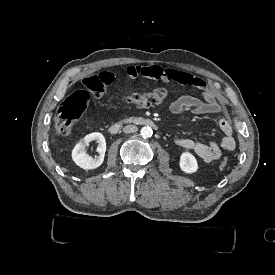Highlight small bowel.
I'll return each instance as SVG.
<instances>
[{"label": "small bowel", "instance_id": "obj_1", "mask_svg": "<svg viewBox=\"0 0 275 275\" xmlns=\"http://www.w3.org/2000/svg\"><path fill=\"white\" fill-rule=\"evenodd\" d=\"M129 74L133 78H147L192 85L201 91L202 99L184 95L173 100L169 106L172 114L179 115L185 111H190L196 115L224 112V106L216 99L212 88L206 84L204 79L198 76L193 77L184 71L163 69L159 66H133L129 68ZM99 78L108 87L112 86L116 80L114 74L108 70L103 71ZM218 123L224 134L220 142H200L189 138H177L175 143L181 148L193 151L202 161L206 163L213 162L221 157L223 151L233 150L236 147L231 122L221 118Z\"/></svg>", "mask_w": 275, "mask_h": 275}]
</instances>
